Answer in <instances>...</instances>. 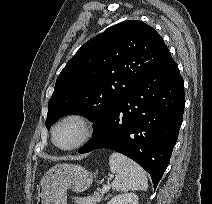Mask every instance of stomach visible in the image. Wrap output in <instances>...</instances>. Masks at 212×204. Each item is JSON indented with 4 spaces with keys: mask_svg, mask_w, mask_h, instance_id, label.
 Returning a JSON list of instances; mask_svg holds the SVG:
<instances>
[{
    "mask_svg": "<svg viewBox=\"0 0 212 204\" xmlns=\"http://www.w3.org/2000/svg\"><path fill=\"white\" fill-rule=\"evenodd\" d=\"M96 173L76 164H57L40 181L37 204H67L66 192L87 190Z\"/></svg>",
    "mask_w": 212,
    "mask_h": 204,
    "instance_id": "obj_1",
    "label": "stomach"
}]
</instances>
